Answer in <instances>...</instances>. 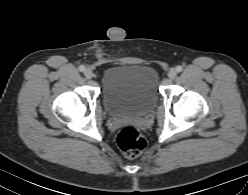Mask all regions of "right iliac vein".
<instances>
[{"mask_svg":"<svg viewBox=\"0 0 248 195\" xmlns=\"http://www.w3.org/2000/svg\"><path fill=\"white\" fill-rule=\"evenodd\" d=\"M84 75L86 76V78L90 79L93 77V71L90 69V68H87L85 71H84Z\"/></svg>","mask_w":248,"mask_h":195,"instance_id":"1","label":"right iliac vein"}]
</instances>
